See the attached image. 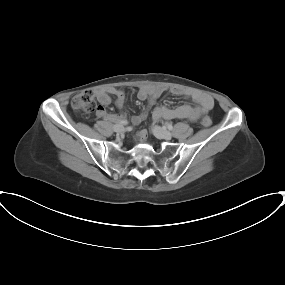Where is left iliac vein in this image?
<instances>
[{
	"label": "left iliac vein",
	"mask_w": 285,
	"mask_h": 285,
	"mask_svg": "<svg viewBox=\"0 0 285 285\" xmlns=\"http://www.w3.org/2000/svg\"><path fill=\"white\" fill-rule=\"evenodd\" d=\"M152 132L159 139L170 140L172 138V134L160 126H154Z\"/></svg>",
	"instance_id": "left-iliac-vein-1"
}]
</instances>
